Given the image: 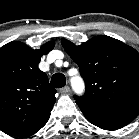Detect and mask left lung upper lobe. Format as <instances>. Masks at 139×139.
Here are the masks:
<instances>
[{
    "mask_svg": "<svg viewBox=\"0 0 139 139\" xmlns=\"http://www.w3.org/2000/svg\"><path fill=\"white\" fill-rule=\"evenodd\" d=\"M62 46L79 66L86 91L75 96L82 109L120 111L139 108V53L109 36H96L76 46Z\"/></svg>",
    "mask_w": 139,
    "mask_h": 139,
    "instance_id": "5c2ea615",
    "label": "left lung upper lobe"
}]
</instances>
